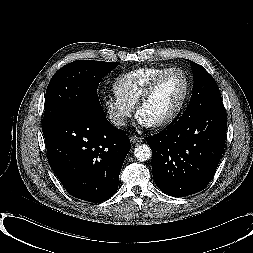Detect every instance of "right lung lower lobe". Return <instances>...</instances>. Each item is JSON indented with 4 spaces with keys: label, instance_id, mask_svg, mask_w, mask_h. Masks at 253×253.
<instances>
[{
    "label": "right lung lower lobe",
    "instance_id": "obj_1",
    "mask_svg": "<svg viewBox=\"0 0 253 253\" xmlns=\"http://www.w3.org/2000/svg\"><path fill=\"white\" fill-rule=\"evenodd\" d=\"M44 137L49 164L69 194L98 203L116 193L131 144L101 106L74 111Z\"/></svg>",
    "mask_w": 253,
    "mask_h": 253
}]
</instances>
